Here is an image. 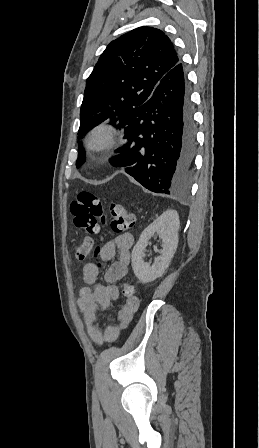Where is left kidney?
<instances>
[{
    "label": "left kidney",
    "instance_id": "1",
    "mask_svg": "<svg viewBox=\"0 0 259 448\" xmlns=\"http://www.w3.org/2000/svg\"><path fill=\"white\" fill-rule=\"evenodd\" d=\"M179 224V216L176 210H167L142 232L139 242L132 250V268L136 278L143 284L154 282L156 278L165 274L178 246ZM155 232H159V236L163 240V250H161V256L155 260L153 266H150L143 260L145 258L144 250Z\"/></svg>",
    "mask_w": 259,
    "mask_h": 448
}]
</instances>
